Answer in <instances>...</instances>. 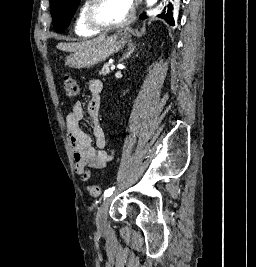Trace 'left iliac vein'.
Instances as JSON below:
<instances>
[{"mask_svg": "<svg viewBox=\"0 0 256 267\" xmlns=\"http://www.w3.org/2000/svg\"><path fill=\"white\" fill-rule=\"evenodd\" d=\"M111 197H106L100 205L96 215V225L98 229H105L107 224V213L111 204Z\"/></svg>", "mask_w": 256, "mask_h": 267, "instance_id": "obj_1", "label": "left iliac vein"}]
</instances>
